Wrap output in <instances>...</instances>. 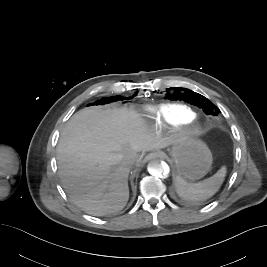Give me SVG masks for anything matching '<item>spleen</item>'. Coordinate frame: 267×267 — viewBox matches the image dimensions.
Wrapping results in <instances>:
<instances>
[{
    "mask_svg": "<svg viewBox=\"0 0 267 267\" xmlns=\"http://www.w3.org/2000/svg\"><path fill=\"white\" fill-rule=\"evenodd\" d=\"M226 176V167H221L213 176L198 182L188 183L182 177L175 178L177 194L184 200L200 201L213 196L221 187Z\"/></svg>",
    "mask_w": 267,
    "mask_h": 267,
    "instance_id": "3e777b00",
    "label": "spleen"
}]
</instances>
